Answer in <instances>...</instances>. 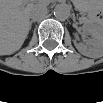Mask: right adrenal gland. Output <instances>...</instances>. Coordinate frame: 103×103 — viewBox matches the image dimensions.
I'll use <instances>...</instances> for the list:
<instances>
[{"mask_svg":"<svg viewBox=\"0 0 103 103\" xmlns=\"http://www.w3.org/2000/svg\"><path fill=\"white\" fill-rule=\"evenodd\" d=\"M34 21H30V25H29V28L31 29V26H32V23H33Z\"/></svg>","mask_w":103,"mask_h":103,"instance_id":"obj_1","label":"right adrenal gland"}]
</instances>
